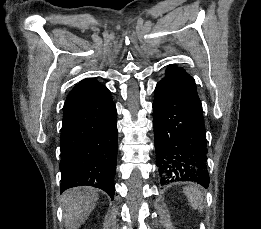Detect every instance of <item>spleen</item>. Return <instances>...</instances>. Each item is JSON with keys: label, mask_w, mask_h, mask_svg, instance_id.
<instances>
[{"label": "spleen", "mask_w": 261, "mask_h": 229, "mask_svg": "<svg viewBox=\"0 0 261 229\" xmlns=\"http://www.w3.org/2000/svg\"><path fill=\"white\" fill-rule=\"evenodd\" d=\"M183 193H185L189 205H191L192 209H198V211H202L203 209V197H202V191L199 189L198 185H195V183H192V185H189V187H184Z\"/></svg>", "instance_id": "obj_1"}]
</instances>
